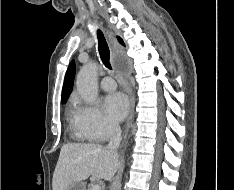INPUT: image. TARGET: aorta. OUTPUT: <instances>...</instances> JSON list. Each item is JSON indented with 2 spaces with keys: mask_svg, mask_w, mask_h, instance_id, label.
Instances as JSON below:
<instances>
[{
  "mask_svg": "<svg viewBox=\"0 0 234 190\" xmlns=\"http://www.w3.org/2000/svg\"><path fill=\"white\" fill-rule=\"evenodd\" d=\"M76 86L86 103L93 104L96 101L98 96L96 63L91 62L81 68L77 75Z\"/></svg>",
  "mask_w": 234,
  "mask_h": 190,
  "instance_id": "762f6f07",
  "label": "aorta"
}]
</instances>
